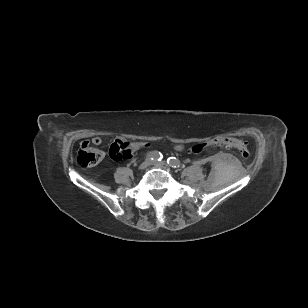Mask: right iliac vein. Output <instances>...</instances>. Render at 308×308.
Instances as JSON below:
<instances>
[{
    "mask_svg": "<svg viewBox=\"0 0 308 308\" xmlns=\"http://www.w3.org/2000/svg\"><path fill=\"white\" fill-rule=\"evenodd\" d=\"M152 164V162L148 159V160H145L144 162H142L139 166V169L140 170H144L146 169L148 166H150Z\"/></svg>",
    "mask_w": 308,
    "mask_h": 308,
    "instance_id": "63e3f726",
    "label": "right iliac vein"
}]
</instances>
